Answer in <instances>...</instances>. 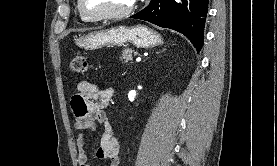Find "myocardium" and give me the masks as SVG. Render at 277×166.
I'll return each instance as SVG.
<instances>
[{"label": "myocardium", "mask_w": 277, "mask_h": 166, "mask_svg": "<svg viewBox=\"0 0 277 166\" xmlns=\"http://www.w3.org/2000/svg\"><path fill=\"white\" fill-rule=\"evenodd\" d=\"M138 0H132L129 6L119 12L95 14L88 12L83 5V0H78V9L83 17L90 20H119L128 17L136 7Z\"/></svg>", "instance_id": "obj_1"}]
</instances>
